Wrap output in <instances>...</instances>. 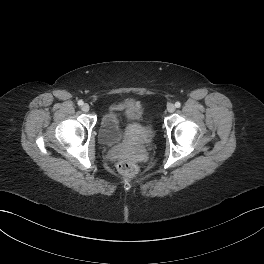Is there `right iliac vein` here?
Here are the masks:
<instances>
[{
    "label": "right iliac vein",
    "instance_id": "63e3f726",
    "mask_svg": "<svg viewBox=\"0 0 264 264\" xmlns=\"http://www.w3.org/2000/svg\"><path fill=\"white\" fill-rule=\"evenodd\" d=\"M90 110V106L88 105V104H84L83 106H82V111L83 112H88Z\"/></svg>",
    "mask_w": 264,
    "mask_h": 264
}]
</instances>
